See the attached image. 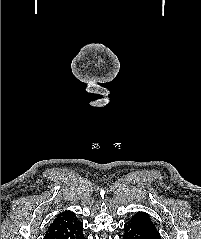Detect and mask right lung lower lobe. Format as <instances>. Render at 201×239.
<instances>
[{"label": "right lung lower lobe", "instance_id": "right-lung-lower-lobe-1", "mask_svg": "<svg viewBox=\"0 0 201 239\" xmlns=\"http://www.w3.org/2000/svg\"><path fill=\"white\" fill-rule=\"evenodd\" d=\"M81 239H85L84 235H82Z\"/></svg>", "mask_w": 201, "mask_h": 239}]
</instances>
